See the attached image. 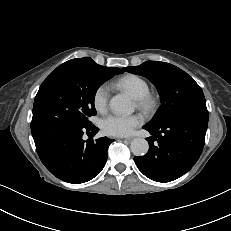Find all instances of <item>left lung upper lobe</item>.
Wrapping results in <instances>:
<instances>
[{"mask_svg":"<svg viewBox=\"0 0 231 231\" xmlns=\"http://www.w3.org/2000/svg\"><path fill=\"white\" fill-rule=\"evenodd\" d=\"M123 69L148 78L160 94L161 106L148 125H159L188 110L207 109L201 87L186 72L172 64L146 61Z\"/></svg>","mask_w":231,"mask_h":231,"instance_id":"obj_1","label":"left lung upper lobe"}]
</instances>
